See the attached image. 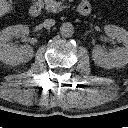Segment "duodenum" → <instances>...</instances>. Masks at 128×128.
<instances>
[{
    "instance_id": "410a0bca",
    "label": "duodenum",
    "mask_w": 128,
    "mask_h": 128,
    "mask_svg": "<svg viewBox=\"0 0 128 128\" xmlns=\"http://www.w3.org/2000/svg\"><path fill=\"white\" fill-rule=\"evenodd\" d=\"M77 10L79 14L86 16L91 12V7L87 1H83L78 5ZM29 12L32 17H39L42 12L41 0H33Z\"/></svg>"
}]
</instances>
